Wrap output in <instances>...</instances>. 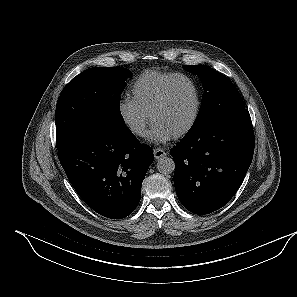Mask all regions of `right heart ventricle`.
Listing matches in <instances>:
<instances>
[{"mask_svg":"<svg viewBox=\"0 0 297 297\" xmlns=\"http://www.w3.org/2000/svg\"><path fill=\"white\" fill-rule=\"evenodd\" d=\"M177 73L149 70L139 75L131 85V98L147 114L159 97L163 87Z\"/></svg>","mask_w":297,"mask_h":297,"instance_id":"e07e8e85","label":"right heart ventricle"}]
</instances>
